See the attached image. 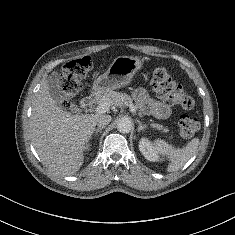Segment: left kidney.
Wrapping results in <instances>:
<instances>
[{
  "instance_id": "left-kidney-1",
  "label": "left kidney",
  "mask_w": 235,
  "mask_h": 235,
  "mask_svg": "<svg viewBox=\"0 0 235 235\" xmlns=\"http://www.w3.org/2000/svg\"><path fill=\"white\" fill-rule=\"evenodd\" d=\"M139 150L147 160L153 162L159 161L158 153L148 138H141L139 141Z\"/></svg>"
}]
</instances>
